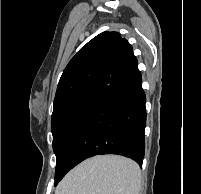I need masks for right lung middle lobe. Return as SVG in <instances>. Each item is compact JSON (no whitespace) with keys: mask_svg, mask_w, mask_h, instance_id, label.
<instances>
[{"mask_svg":"<svg viewBox=\"0 0 201 194\" xmlns=\"http://www.w3.org/2000/svg\"><path fill=\"white\" fill-rule=\"evenodd\" d=\"M95 98L96 96L77 97L54 107L51 118L54 152H56L64 130L70 121Z\"/></svg>","mask_w":201,"mask_h":194,"instance_id":"dd1d6c3e","label":"right lung middle lobe"}]
</instances>
